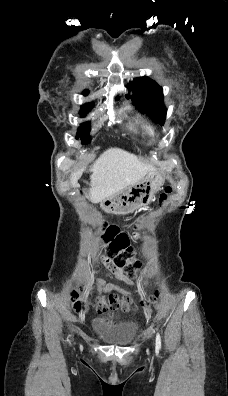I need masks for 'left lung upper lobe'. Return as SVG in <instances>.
<instances>
[{
    "instance_id": "obj_1",
    "label": "left lung upper lobe",
    "mask_w": 228,
    "mask_h": 396,
    "mask_svg": "<svg viewBox=\"0 0 228 396\" xmlns=\"http://www.w3.org/2000/svg\"><path fill=\"white\" fill-rule=\"evenodd\" d=\"M133 92L127 94L141 112L146 113L154 122L164 125L167 109L163 102V90L155 81L138 77L127 86Z\"/></svg>"
}]
</instances>
